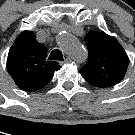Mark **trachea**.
I'll list each match as a JSON object with an SVG mask.
<instances>
[{
  "label": "trachea",
  "mask_w": 135,
  "mask_h": 135,
  "mask_svg": "<svg viewBox=\"0 0 135 135\" xmlns=\"http://www.w3.org/2000/svg\"><path fill=\"white\" fill-rule=\"evenodd\" d=\"M48 60H60V61H63V55H62V52L59 50V49H55L53 50L49 57H48Z\"/></svg>",
  "instance_id": "1"
}]
</instances>
